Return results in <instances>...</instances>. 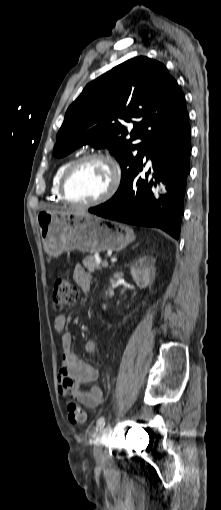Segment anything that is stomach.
Here are the masks:
<instances>
[{"instance_id": "1", "label": "stomach", "mask_w": 221, "mask_h": 510, "mask_svg": "<svg viewBox=\"0 0 221 510\" xmlns=\"http://www.w3.org/2000/svg\"><path fill=\"white\" fill-rule=\"evenodd\" d=\"M37 222L46 253L119 251L135 238L132 229L90 214L41 211Z\"/></svg>"}]
</instances>
